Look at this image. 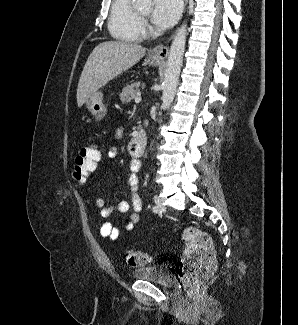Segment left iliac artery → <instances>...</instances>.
Returning a JSON list of instances; mask_svg holds the SVG:
<instances>
[{
	"label": "left iliac artery",
	"mask_w": 298,
	"mask_h": 325,
	"mask_svg": "<svg viewBox=\"0 0 298 325\" xmlns=\"http://www.w3.org/2000/svg\"><path fill=\"white\" fill-rule=\"evenodd\" d=\"M152 210H153V212H158L157 206H153Z\"/></svg>",
	"instance_id": "obj_1"
}]
</instances>
